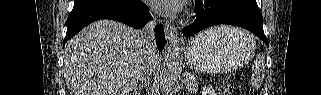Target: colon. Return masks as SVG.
I'll list each match as a JSON object with an SVG mask.
<instances>
[{
    "label": "colon",
    "instance_id": "colon-1",
    "mask_svg": "<svg viewBox=\"0 0 321 95\" xmlns=\"http://www.w3.org/2000/svg\"><path fill=\"white\" fill-rule=\"evenodd\" d=\"M233 87L229 82H223L219 89V94L221 95H232L233 94Z\"/></svg>",
    "mask_w": 321,
    "mask_h": 95
}]
</instances>
